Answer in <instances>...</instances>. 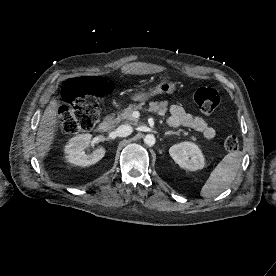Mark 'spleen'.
<instances>
[{
  "mask_svg": "<svg viewBox=\"0 0 276 276\" xmlns=\"http://www.w3.org/2000/svg\"><path fill=\"white\" fill-rule=\"evenodd\" d=\"M242 162V153L234 151L227 154L211 172L201 189L200 195L211 198L226 190L234 181Z\"/></svg>",
  "mask_w": 276,
  "mask_h": 276,
  "instance_id": "3e777b00",
  "label": "spleen"
}]
</instances>
